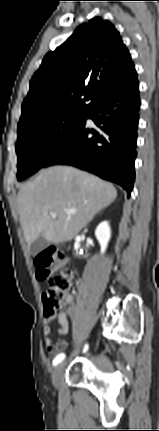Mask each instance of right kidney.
<instances>
[{"label":"right kidney","instance_id":"obj_1","mask_svg":"<svg viewBox=\"0 0 159 431\" xmlns=\"http://www.w3.org/2000/svg\"><path fill=\"white\" fill-rule=\"evenodd\" d=\"M95 235L101 246V253L103 254L107 248L111 236L110 227L107 221H104L97 226Z\"/></svg>","mask_w":159,"mask_h":431}]
</instances>
